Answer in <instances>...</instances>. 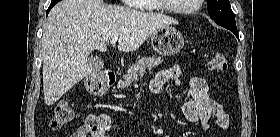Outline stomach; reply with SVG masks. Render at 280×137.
I'll use <instances>...</instances> for the list:
<instances>
[{
	"instance_id": "stomach-1",
	"label": "stomach",
	"mask_w": 280,
	"mask_h": 137,
	"mask_svg": "<svg viewBox=\"0 0 280 137\" xmlns=\"http://www.w3.org/2000/svg\"><path fill=\"white\" fill-rule=\"evenodd\" d=\"M153 49L160 55L172 56L184 46V38L180 31L172 26H166L151 35Z\"/></svg>"
}]
</instances>
